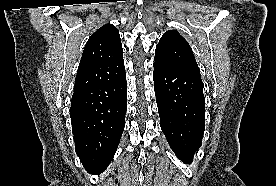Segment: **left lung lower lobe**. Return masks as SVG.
I'll list each match as a JSON object with an SVG mask.
<instances>
[{
    "instance_id": "0a47b994",
    "label": "left lung lower lobe",
    "mask_w": 276,
    "mask_h": 186,
    "mask_svg": "<svg viewBox=\"0 0 276 186\" xmlns=\"http://www.w3.org/2000/svg\"><path fill=\"white\" fill-rule=\"evenodd\" d=\"M153 79L161 129L176 156L188 164L205 129L201 76L154 62Z\"/></svg>"
}]
</instances>
